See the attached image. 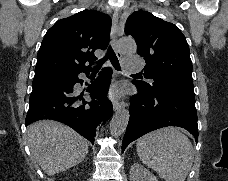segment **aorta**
<instances>
[{
    "instance_id": "obj_1",
    "label": "aorta",
    "mask_w": 228,
    "mask_h": 181,
    "mask_svg": "<svg viewBox=\"0 0 228 181\" xmlns=\"http://www.w3.org/2000/svg\"><path fill=\"white\" fill-rule=\"evenodd\" d=\"M137 49L136 43L132 38H122L118 43V50L121 53H135ZM129 111L121 109L112 118L110 122V133L112 136L118 137L123 134L129 122Z\"/></svg>"
}]
</instances>
